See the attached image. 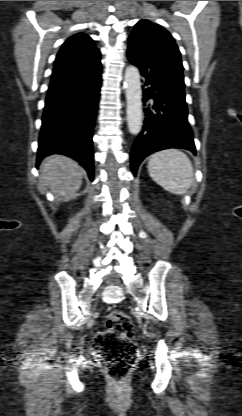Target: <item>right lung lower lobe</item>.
Returning a JSON list of instances; mask_svg holds the SVG:
<instances>
[{
  "label": "right lung lower lobe",
  "mask_w": 242,
  "mask_h": 416,
  "mask_svg": "<svg viewBox=\"0 0 242 416\" xmlns=\"http://www.w3.org/2000/svg\"><path fill=\"white\" fill-rule=\"evenodd\" d=\"M101 87V69L79 79L50 84L39 137L37 166L51 154L77 160L93 181V128Z\"/></svg>",
  "instance_id": "1"
}]
</instances>
